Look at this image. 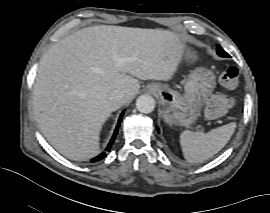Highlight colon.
<instances>
[{
	"mask_svg": "<svg viewBox=\"0 0 270 213\" xmlns=\"http://www.w3.org/2000/svg\"><path fill=\"white\" fill-rule=\"evenodd\" d=\"M239 73L235 66L224 70L220 76V86L225 91H232L238 86ZM234 99L224 93L212 95L204 104L203 114L208 119L223 117L233 106Z\"/></svg>",
	"mask_w": 270,
	"mask_h": 213,
	"instance_id": "colon-1",
	"label": "colon"
}]
</instances>
